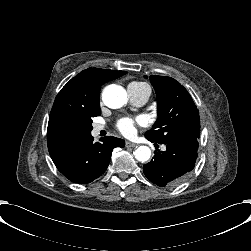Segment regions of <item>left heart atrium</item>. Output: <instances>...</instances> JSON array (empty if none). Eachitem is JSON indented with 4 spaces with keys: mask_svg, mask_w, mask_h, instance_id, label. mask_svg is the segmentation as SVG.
<instances>
[{
    "mask_svg": "<svg viewBox=\"0 0 251 251\" xmlns=\"http://www.w3.org/2000/svg\"><path fill=\"white\" fill-rule=\"evenodd\" d=\"M117 129L124 135H129L134 131V121L130 118H121L117 122Z\"/></svg>",
    "mask_w": 251,
    "mask_h": 251,
    "instance_id": "39dd6f15",
    "label": "left heart atrium"
}]
</instances>
